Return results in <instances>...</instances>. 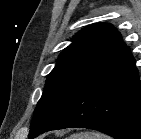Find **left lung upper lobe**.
I'll return each mask as SVG.
<instances>
[{
  "mask_svg": "<svg viewBox=\"0 0 141 139\" xmlns=\"http://www.w3.org/2000/svg\"><path fill=\"white\" fill-rule=\"evenodd\" d=\"M72 41L47 78L34 110L31 137L42 130L82 82L126 47L120 33L108 23L90 25L78 32Z\"/></svg>",
  "mask_w": 141,
  "mask_h": 139,
  "instance_id": "5c2ea615",
  "label": "left lung upper lobe"
}]
</instances>
